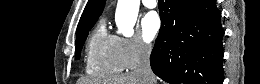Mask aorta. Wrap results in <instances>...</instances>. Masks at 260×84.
I'll list each match as a JSON object with an SVG mask.
<instances>
[{"mask_svg": "<svg viewBox=\"0 0 260 84\" xmlns=\"http://www.w3.org/2000/svg\"><path fill=\"white\" fill-rule=\"evenodd\" d=\"M140 0H118L115 22L119 33L131 37L139 12Z\"/></svg>", "mask_w": 260, "mask_h": 84, "instance_id": "1", "label": "aorta"}]
</instances>
